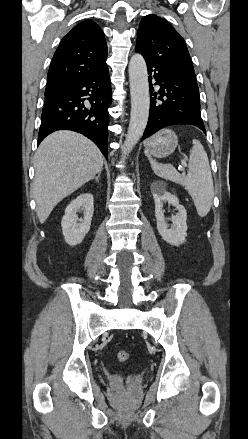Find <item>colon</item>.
<instances>
[{"instance_id": "obj_1", "label": "colon", "mask_w": 248, "mask_h": 439, "mask_svg": "<svg viewBox=\"0 0 248 439\" xmlns=\"http://www.w3.org/2000/svg\"><path fill=\"white\" fill-rule=\"evenodd\" d=\"M130 358V354L127 351H119L117 353V359L121 362H126Z\"/></svg>"}]
</instances>
